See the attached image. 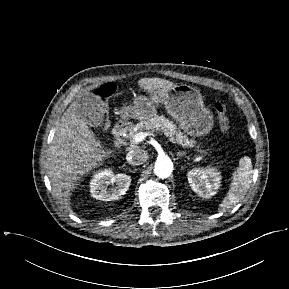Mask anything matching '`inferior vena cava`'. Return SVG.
I'll use <instances>...</instances> for the list:
<instances>
[{
	"mask_svg": "<svg viewBox=\"0 0 289 289\" xmlns=\"http://www.w3.org/2000/svg\"><path fill=\"white\" fill-rule=\"evenodd\" d=\"M147 158V153L142 149L131 150L126 155V160L131 165H141Z\"/></svg>",
	"mask_w": 289,
	"mask_h": 289,
	"instance_id": "obj_1",
	"label": "inferior vena cava"
}]
</instances>
